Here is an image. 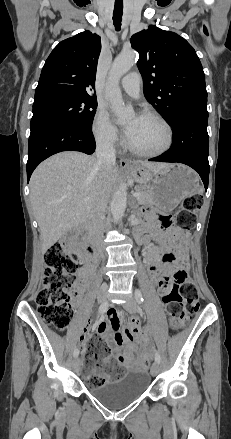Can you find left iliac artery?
Wrapping results in <instances>:
<instances>
[{
    "instance_id": "1",
    "label": "left iliac artery",
    "mask_w": 231,
    "mask_h": 439,
    "mask_svg": "<svg viewBox=\"0 0 231 439\" xmlns=\"http://www.w3.org/2000/svg\"><path fill=\"white\" fill-rule=\"evenodd\" d=\"M135 298H136V301H137L139 304H141V303L144 301V299H143V297H142V294H141L140 290H136V291H135ZM155 361L158 362V363L161 362L160 355H159V353H158L157 351H155Z\"/></svg>"
}]
</instances>
